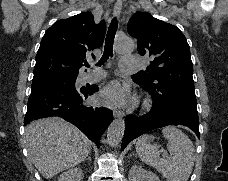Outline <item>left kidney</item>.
Segmentation results:
<instances>
[{
  "mask_svg": "<svg viewBox=\"0 0 228 181\" xmlns=\"http://www.w3.org/2000/svg\"><path fill=\"white\" fill-rule=\"evenodd\" d=\"M128 179L129 181H159L157 175L149 173V171H145V169L137 167V165H133V167H131Z\"/></svg>",
  "mask_w": 228,
  "mask_h": 181,
  "instance_id": "1",
  "label": "left kidney"
}]
</instances>
